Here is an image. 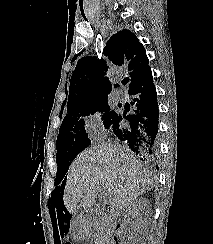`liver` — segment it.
Segmentation results:
<instances>
[{
	"label": "liver",
	"mask_w": 213,
	"mask_h": 244,
	"mask_svg": "<svg viewBox=\"0 0 213 244\" xmlns=\"http://www.w3.org/2000/svg\"><path fill=\"white\" fill-rule=\"evenodd\" d=\"M154 185V177L139 161L110 143H102L81 152L70 166L63 194L71 214L79 207L91 208L99 188L108 194L110 205L118 211Z\"/></svg>",
	"instance_id": "1"
}]
</instances>
